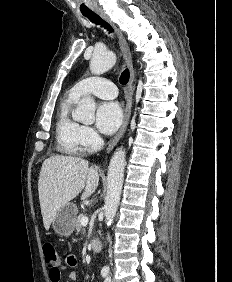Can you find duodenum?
I'll return each mask as SVG.
<instances>
[{
    "instance_id": "410a0bca",
    "label": "duodenum",
    "mask_w": 232,
    "mask_h": 282,
    "mask_svg": "<svg viewBox=\"0 0 232 282\" xmlns=\"http://www.w3.org/2000/svg\"><path fill=\"white\" fill-rule=\"evenodd\" d=\"M91 248L92 250L95 252V253H99L102 249V243L99 239L97 238H94L92 241H91Z\"/></svg>"
}]
</instances>
